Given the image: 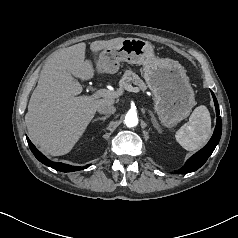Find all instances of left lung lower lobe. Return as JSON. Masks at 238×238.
Here are the masks:
<instances>
[{
    "mask_svg": "<svg viewBox=\"0 0 238 238\" xmlns=\"http://www.w3.org/2000/svg\"><path fill=\"white\" fill-rule=\"evenodd\" d=\"M213 99H214V104L216 108V114H217V123L216 127L213 133L212 138L210 141L207 143V145L202 148L200 151H198L196 154H194L190 159L187 160L185 165L178 171H175V174H186L190 173L193 171H196L199 169L208 159V157L212 154L214 151L216 145L218 144L221 133H222V122H221V117L219 116V105L217 102V99L214 95V93L211 91Z\"/></svg>",
    "mask_w": 238,
    "mask_h": 238,
    "instance_id": "1",
    "label": "left lung lower lobe"
}]
</instances>
